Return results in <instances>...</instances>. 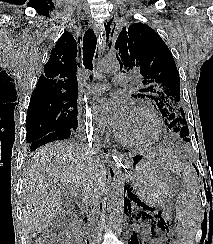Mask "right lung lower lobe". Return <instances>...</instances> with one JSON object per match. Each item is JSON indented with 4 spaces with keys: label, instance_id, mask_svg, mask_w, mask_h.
<instances>
[{
    "label": "right lung lower lobe",
    "instance_id": "98d812e1",
    "mask_svg": "<svg viewBox=\"0 0 213 244\" xmlns=\"http://www.w3.org/2000/svg\"><path fill=\"white\" fill-rule=\"evenodd\" d=\"M73 133V130L70 129H64L59 131L51 132L38 140L30 143V151L36 150L38 147L45 145L47 143L57 141V140H64L70 138L71 134ZM106 152V151H104Z\"/></svg>",
    "mask_w": 213,
    "mask_h": 244
}]
</instances>
